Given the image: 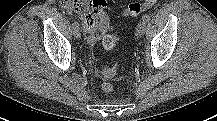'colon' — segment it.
Listing matches in <instances>:
<instances>
[{
	"instance_id": "1",
	"label": "colon",
	"mask_w": 217,
	"mask_h": 121,
	"mask_svg": "<svg viewBox=\"0 0 217 121\" xmlns=\"http://www.w3.org/2000/svg\"><path fill=\"white\" fill-rule=\"evenodd\" d=\"M61 7L69 14H79L82 19L84 28L87 31L99 35L105 32L106 21L105 11L107 8L106 0H60ZM157 0H143V2H135L128 6L125 15L138 16L144 11L152 8ZM118 37L106 35L103 38V47L107 50L115 48ZM118 63H113L103 67L100 71L104 81L102 82V90L106 93L113 91L114 86L108 79L113 77L118 70Z\"/></svg>"
}]
</instances>
